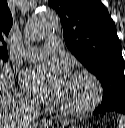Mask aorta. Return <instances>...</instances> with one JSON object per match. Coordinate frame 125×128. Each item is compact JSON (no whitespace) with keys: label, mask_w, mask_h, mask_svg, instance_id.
Returning a JSON list of instances; mask_svg holds the SVG:
<instances>
[{"label":"aorta","mask_w":125,"mask_h":128,"mask_svg":"<svg viewBox=\"0 0 125 128\" xmlns=\"http://www.w3.org/2000/svg\"><path fill=\"white\" fill-rule=\"evenodd\" d=\"M58 18L55 11L47 8L34 15L26 25V36L31 40H41L57 28Z\"/></svg>","instance_id":"obj_1"}]
</instances>
